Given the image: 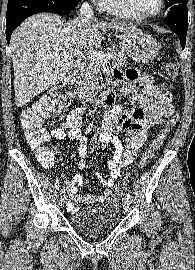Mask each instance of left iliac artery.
I'll use <instances>...</instances> for the list:
<instances>
[{"label": "left iliac artery", "mask_w": 195, "mask_h": 270, "mask_svg": "<svg viewBox=\"0 0 195 270\" xmlns=\"http://www.w3.org/2000/svg\"><path fill=\"white\" fill-rule=\"evenodd\" d=\"M126 197H127L128 199H131L130 193H127V194H126Z\"/></svg>", "instance_id": "left-iliac-artery-1"}]
</instances>
